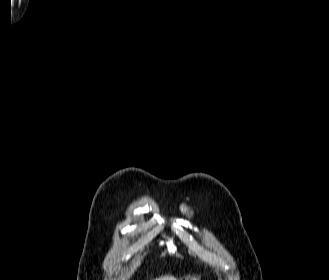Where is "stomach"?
<instances>
[{
	"instance_id": "stomach-1",
	"label": "stomach",
	"mask_w": 329,
	"mask_h": 280,
	"mask_svg": "<svg viewBox=\"0 0 329 280\" xmlns=\"http://www.w3.org/2000/svg\"><path fill=\"white\" fill-rule=\"evenodd\" d=\"M180 280H200V276L197 275H187L181 278Z\"/></svg>"
}]
</instances>
